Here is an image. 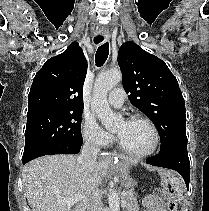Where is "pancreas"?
<instances>
[{
    "instance_id": "obj_1",
    "label": "pancreas",
    "mask_w": 209,
    "mask_h": 211,
    "mask_svg": "<svg viewBox=\"0 0 209 211\" xmlns=\"http://www.w3.org/2000/svg\"><path fill=\"white\" fill-rule=\"evenodd\" d=\"M124 200L126 202V211H139L137 197L134 191H127Z\"/></svg>"
}]
</instances>
